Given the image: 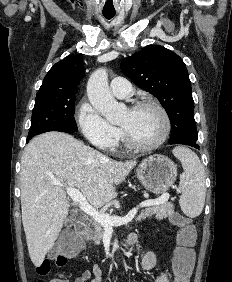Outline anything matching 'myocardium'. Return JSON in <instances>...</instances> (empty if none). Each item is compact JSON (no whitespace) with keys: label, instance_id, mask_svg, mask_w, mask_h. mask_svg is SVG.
<instances>
[{"label":"myocardium","instance_id":"1","mask_svg":"<svg viewBox=\"0 0 232 282\" xmlns=\"http://www.w3.org/2000/svg\"><path fill=\"white\" fill-rule=\"evenodd\" d=\"M142 107H152L161 114L163 121H164V129H163V133L161 134V136L152 143L139 144L132 140V138L130 137V135L128 134L125 128L120 127V131H121L124 143L126 144L128 148L132 150H136V151H149V150H153V149L160 147L162 144L166 142V140L168 139L170 135L172 124H171V119H170L168 112L157 101L150 100V99L140 100V101L135 102L130 107V110H136Z\"/></svg>","mask_w":232,"mask_h":282}]
</instances>
